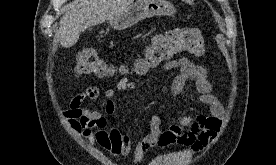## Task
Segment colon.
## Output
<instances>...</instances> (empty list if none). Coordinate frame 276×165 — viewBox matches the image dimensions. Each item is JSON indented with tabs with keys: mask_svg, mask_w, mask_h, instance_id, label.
Returning <instances> with one entry per match:
<instances>
[{
	"mask_svg": "<svg viewBox=\"0 0 276 165\" xmlns=\"http://www.w3.org/2000/svg\"><path fill=\"white\" fill-rule=\"evenodd\" d=\"M180 52L202 56L206 52L202 32L197 28H174L155 35L145 48L143 56L135 65L136 72L152 69ZM77 74L110 76L114 69L93 49L78 53L75 60Z\"/></svg>",
	"mask_w": 276,
	"mask_h": 165,
	"instance_id": "1",
	"label": "colon"
}]
</instances>
